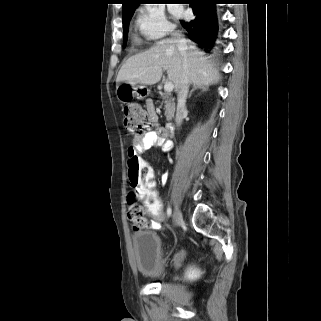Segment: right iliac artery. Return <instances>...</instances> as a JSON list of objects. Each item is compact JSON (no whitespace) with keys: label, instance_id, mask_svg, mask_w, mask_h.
Segmentation results:
<instances>
[{"label":"right iliac artery","instance_id":"right-iliac-artery-1","mask_svg":"<svg viewBox=\"0 0 321 321\" xmlns=\"http://www.w3.org/2000/svg\"><path fill=\"white\" fill-rule=\"evenodd\" d=\"M171 213H172V209H171L170 207H168V209H167V215H168V217L171 216Z\"/></svg>","mask_w":321,"mask_h":321}]
</instances>
